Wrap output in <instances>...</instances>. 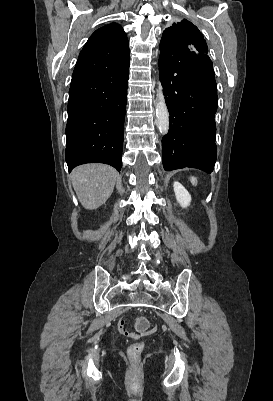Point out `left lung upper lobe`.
<instances>
[{"label":"left lung upper lobe","instance_id":"1","mask_svg":"<svg viewBox=\"0 0 273 401\" xmlns=\"http://www.w3.org/2000/svg\"><path fill=\"white\" fill-rule=\"evenodd\" d=\"M160 44L170 48H190L196 52L208 53L202 33L186 19L166 28Z\"/></svg>","mask_w":273,"mask_h":401}]
</instances>
